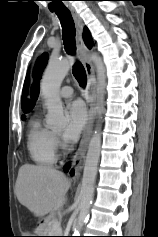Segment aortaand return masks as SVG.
Segmentation results:
<instances>
[{
  "mask_svg": "<svg viewBox=\"0 0 158 237\" xmlns=\"http://www.w3.org/2000/svg\"><path fill=\"white\" fill-rule=\"evenodd\" d=\"M96 73V113L101 118L103 112L104 95L106 88V70L100 56L91 54ZM75 58L72 56L62 60H50L42 81L41 92L46 100L48 110L46 122L49 126L64 127L68 120L64 115L63 103L59 96L61 83L68 71L74 64ZM101 151V125L97 124L95 131L89 142L87 156L85 160L81 190L77 229L79 230L88 216L89 208L93 200L94 185L97 174V166Z\"/></svg>",
  "mask_w": 158,
  "mask_h": 237,
  "instance_id": "obj_1",
  "label": "aorta"
}]
</instances>
